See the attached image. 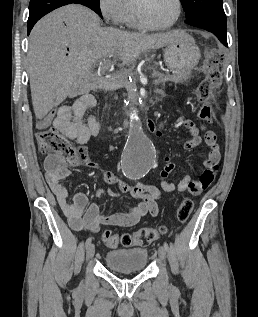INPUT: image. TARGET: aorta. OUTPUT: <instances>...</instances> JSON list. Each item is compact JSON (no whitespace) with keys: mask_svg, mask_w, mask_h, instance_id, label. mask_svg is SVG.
<instances>
[{"mask_svg":"<svg viewBox=\"0 0 258 317\" xmlns=\"http://www.w3.org/2000/svg\"><path fill=\"white\" fill-rule=\"evenodd\" d=\"M155 158L154 145L143 131L138 111L133 110L130 114L128 139L121 159L122 171L128 178H142L152 168Z\"/></svg>","mask_w":258,"mask_h":317,"instance_id":"1","label":"aorta"}]
</instances>
